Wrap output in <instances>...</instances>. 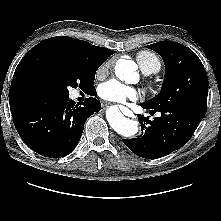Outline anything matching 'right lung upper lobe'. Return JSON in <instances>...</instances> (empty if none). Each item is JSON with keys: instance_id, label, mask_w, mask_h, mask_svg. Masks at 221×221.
Here are the masks:
<instances>
[{"instance_id": "right-lung-upper-lobe-1", "label": "right lung upper lobe", "mask_w": 221, "mask_h": 221, "mask_svg": "<svg viewBox=\"0 0 221 221\" xmlns=\"http://www.w3.org/2000/svg\"><path fill=\"white\" fill-rule=\"evenodd\" d=\"M53 52H61L73 56L90 66L98 67L115 51L91 45L87 41L71 37H52L42 41L33 47L18 64L11 82L9 95L16 90H30L26 87L21 78V69L25 63L35 57L44 56ZM32 91V90H31Z\"/></svg>"}]
</instances>
